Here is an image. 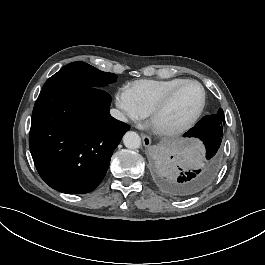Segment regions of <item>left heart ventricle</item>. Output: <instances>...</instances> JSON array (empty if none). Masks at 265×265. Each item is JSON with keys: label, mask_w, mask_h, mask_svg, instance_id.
<instances>
[{"label": "left heart ventricle", "mask_w": 265, "mask_h": 265, "mask_svg": "<svg viewBox=\"0 0 265 265\" xmlns=\"http://www.w3.org/2000/svg\"><path fill=\"white\" fill-rule=\"evenodd\" d=\"M202 91L198 84H185L173 103L160 115L158 124L162 127H174L189 118L199 107Z\"/></svg>", "instance_id": "left-heart-ventricle-1"}]
</instances>
